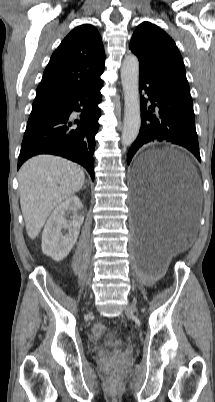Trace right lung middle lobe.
Here are the masks:
<instances>
[{
    "label": "right lung middle lobe",
    "mask_w": 215,
    "mask_h": 402,
    "mask_svg": "<svg viewBox=\"0 0 215 402\" xmlns=\"http://www.w3.org/2000/svg\"><path fill=\"white\" fill-rule=\"evenodd\" d=\"M58 105V102H40L33 103L32 112L27 124L33 123L38 118L44 116Z\"/></svg>",
    "instance_id": "1"
}]
</instances>
